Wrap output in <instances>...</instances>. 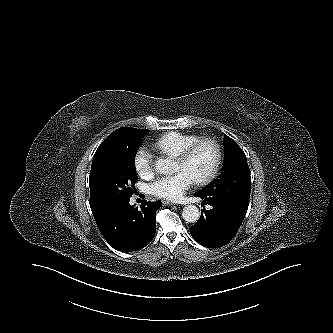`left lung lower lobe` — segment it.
I'll return each instance as SVG.
<instances>
[{
    "mask_svg": "<svg viewBox=\"0 0 333 333\" xmlns=\"http://www.w3.org/2000/svg\"><path fill=\"white\" fill-rule=\"evenodd\" d=\"M204 204L212 206L202 210L197 223L190 227L192 237L208 248L226 245L235 236L247 213L248 203L223 197L221 194L197 192Z\"/></svg>",
    "mask_w": 333,
    "mask_h": 333,
    "instance_id": "obj_1",
    "label": "left lung lower lobe"
}]
</instances>
